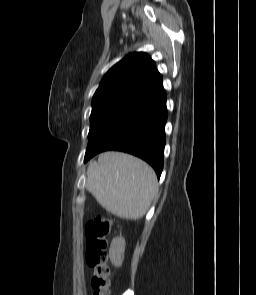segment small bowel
<instances>
[{
    "instance_id": "c3829d8e",
    "label": "small bowel",
    "mask_w": 256,
    "mask_h": 295,
    "mask_svg": "<svg viewBox=\"0 0 256 295\" xmlns=\"http://www.w3.org/2000/svg\"><path fill=\"white\" fill-rule=\"evenodd\" d=\"M124 253V241L120 237H116L111 242L110 254L114 264L119 265L121 263Z\"/></svg>"
}]
</instances>
